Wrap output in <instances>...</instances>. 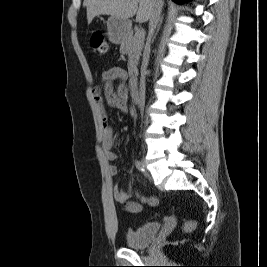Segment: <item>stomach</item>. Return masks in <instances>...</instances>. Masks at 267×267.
Instances as JSON below:
<instances>
[{
  "instance_id": "obj_1",
  "label": "stomach",
  "mask_w": 267,
  "mask_h": 267,
  "mask_svg": "<svg viewBox=\"0 0 267 267\" xmlns=\"http://www.w3.org/2000/svg\"><path fill=\"white\" fill-rule=\"evenodd\" d=\"M131 23L127 19L111 16L107 21V35L112 43L118 44L123 37L130 31Z\"/></svg>"
}]
</instances>
